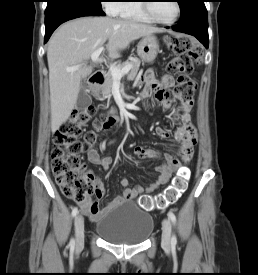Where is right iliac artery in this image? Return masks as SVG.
<instances>
[{"label": "right iliac artery", "instance_id": "obj_1", "mask_svg": "<svg viewBox=\"0 0 258 275\" xmlns=\"http://www.w3.org/2000/svg\"><path fill=\"white\" fill-rule=\"evenodd\" d=\"M77 214H78V208L74 207L72 209V216L75 217ZM69 246H70L71 249H74V247H75V240L73 238L70 240Z\"/></svg>", "mask_w": 258, "mask_h": 275}]
</instances>
